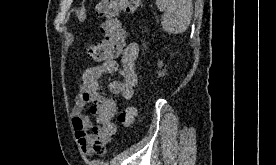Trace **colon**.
Returning <instances> with one entry per match:
<instances>
[{
    "mask_svg": "<svg viewBox=\"0 0 276 165\" xmlns=\"http://www.w3.org/2000/svg\"><path fill=\"white\" fill-rule=\"evenodd\" d=\"M142 7V0H100L95 14L101 20L102 39L86 49L88 58L94 61L114 60L125 44V31L118 19L122 13H135ZM137 116L134 106L123 108L118 114L119 123L131 127Z\"/></svg>",
    "mask_w": 276,
    "mask_h": 165,
    "instance_id": "5ec220e1",
    "label": "colon"
}]
</instances>
